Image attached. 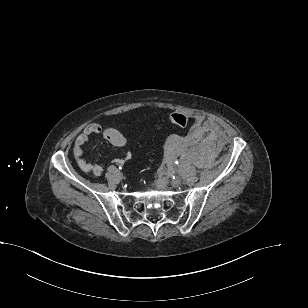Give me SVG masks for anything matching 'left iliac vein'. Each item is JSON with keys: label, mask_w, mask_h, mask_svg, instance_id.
<instances>
[{"label": "left iliac vein", "mask_w": 308, "mask_h": 308, "mask_svg": "<svg viewBox=\"0 0 308 308\" xmlns=\"http://www.w3.org/2000/svg\"><path fill=\"white\" fill-rule=\"evenodd\" d=\"M173 186H179L181 184V178L176 176L174 179L171 180Z\"/></svg>", "instance_id": "obj_1"}]
</instances>
